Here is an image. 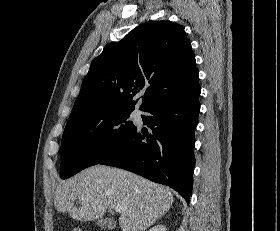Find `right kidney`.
<instances>
[{
    "label": "right kidney",
    "mask_w": 280,
    "mask_h": 231,
    "mask_svg": "<svg viewBox=\"0 0 280 231\" xmlns=\"http://www.w3.org/2000/svg\"><path fill=\"white\" fill-rule=\"evenodd\" d=\"M149 231H167L165 225H154Z\"/></svg>",
    "instance_id": "obj_1"
}]
</instances>
